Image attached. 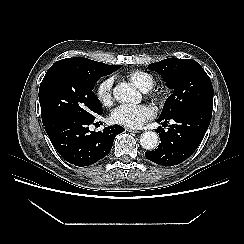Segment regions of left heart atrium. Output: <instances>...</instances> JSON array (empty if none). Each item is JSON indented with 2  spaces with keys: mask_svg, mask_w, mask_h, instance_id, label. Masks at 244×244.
<instances>
[{
  "mask_svg": "<svg viewBox=\"0 0 244 244\" xmlns=\"http://www.w3.org/2000/svg\"><path fill=\"white\" fill-rule=\"evenodd\" d=\"M152 110L145 105H120L111 114L114 123L128 127L139 128L152 118Z\"/></svg>",
  "mask_w": 244,
  "mask_h": 244,
  "instance_id": "left-heart-atrium-1",
  "label": "left heart atrium"
}]
</instances>
